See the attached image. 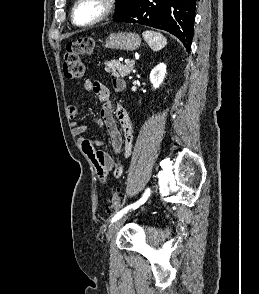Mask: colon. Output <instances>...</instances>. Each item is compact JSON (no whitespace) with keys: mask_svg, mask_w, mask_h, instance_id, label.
<instances>
[{"mask_svg":"<svg viewBox=\"0 0 259 294\" xmlns=\"http://www.w3.org/2000/svg\"><path fill=\"white\" fill-rule=\"evenodd\" d=\"M95 47V41L90 37H81L67 43L63 58V72L68 79H80L85 73L82 56L90 54ZM122 204V192L120 189L113 191L109 213L116 212Z\"/></svg>","mask_w":259,"mask_h":294,"instance_id":"5ec220e1","label":"colon"}]
</instances>
